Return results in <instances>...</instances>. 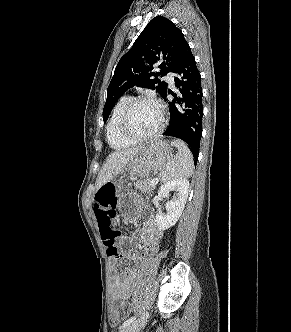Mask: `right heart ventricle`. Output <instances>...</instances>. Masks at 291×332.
Returning <instances> with one entry per match:
<instances>
[{
	"label": "right heart ventricle",
	"mask_w": 291,
	"mask_h": 332,
	"mask_svg": "<svg viewBox=\"0 0 291 332\" xmlns=\"http://www.w3.org/2000/svg\"><path fill=\"white\" fill-rule=\"evenodd\" d=\"M132 99L131 96H122L115 104L112 114L106 126V137L109 145L113 149H124L135 144V142L125 138L120 131L121 115Z\"/></svg>",
	"instance_id": "right-heart-ventricle-1"
}]
</instances>
